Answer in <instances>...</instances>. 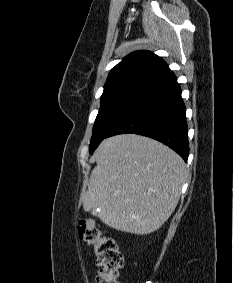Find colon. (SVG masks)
Listing matches in <instances>:
<instances>
[{
  "label": "colon",
  "instance_id": "obj_1",
  "mask_svg": "<svg viewBox=\"0 0 233 283\" xmlns=\"http://www.w3.org/2000/svg\"><path fill=\"white\" fill-rule=\"evenodd\" d=\"M80 237L94 247L98 275L96 283H118V272L123 266V256L116 241L106 236L99 224L91 218L80 221Z\"/></svg>",
  "mask_w": 233,
  "mask_h": 283
}]
</instances>
